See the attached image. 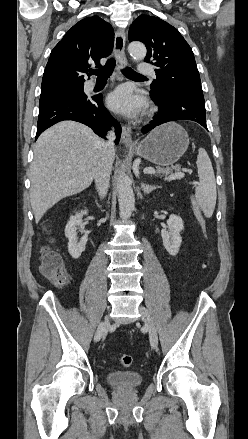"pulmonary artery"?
Listing matches in <instances>:
<instances>
[{"mask_svg": "<svg viewBox=\"0 0 248 439\" xmlns=\"http://www.w3.org/2000/svg\"><path fill=\"white\" fill-rule=\"evenodd\" d=\"M138 73L141 75L146 76H154V70L153 67L148 64L147 62H140L138 67ZM94 85L91 84L90 87H93Z\"/></svg>", "mask_w": 248, "mask_h": 439, "instance_id": "obj_1", "label": "pulmonary artery"}]
</instances>
